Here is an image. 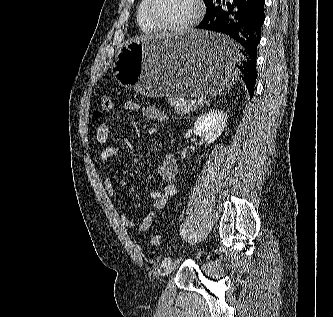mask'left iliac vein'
I'll return each mask as SVG.
<instances>
[{
    "label": "left iliac vein",
    "instance_id": "obj_1",
    "mask_svg": "<svg viewBox=\"0 0 333 317\" xmlns=\"http://www.w3.org/2000/svg\"><path fill=\"white\" fill-rule=\"evenodd\" d=\"M178 262L179 260H176L174 262L167 264L164 268V276H168L174 270Z\"/></svg>",
    "mask_w": 333,
    "mask_h": 317
}]
</instances>
